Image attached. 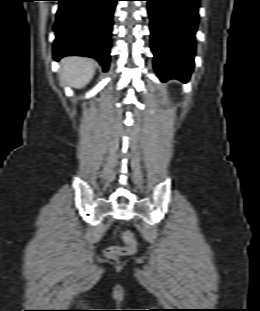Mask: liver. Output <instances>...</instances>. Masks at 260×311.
Returning <instances> with one entry per match:
<instances>
[{
	"mask_svg": "<svg viewBox=\"0 0 260 311\" xmlns=\"http://www.w3.org/2000/svg\"><path fill=\"white\" fill-rule=\"evenodd\" d=\"M60 80L76 89L85 87L95 73V62L85 57H66L61 61Z\"/></svg>",
	"mask_w": 260,
	"mask_h": 311,
	"instance_id": "1",
	"label": "liver"
}]
</instances>
